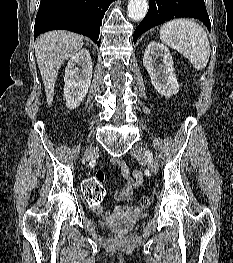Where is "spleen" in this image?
Returning a JSON list of instances; mask_svg holds the SVG:
<instances>
[{
  "label": "spleen",
  "instance_id": "obj_1",
  "mask_svg": "<svg viewBox=\"0 0 233 263\" xmlns=\"http://www.w3.org/2000/svg\"><path fill=\"white\" fill-rule=\"evenodd\" d=\"M161 41L177 50L197 70L204 69L210 58V43L205 30L192 19H174L160 28Z\"/></svg>",
  "mask_w": 233,
  "mask_h": 263
}]
</instances>
